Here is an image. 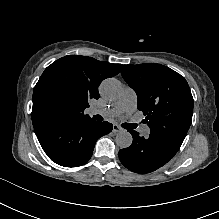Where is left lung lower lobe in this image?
<instances>
[{"instance_id":"left-lung-lower-lobe-1","label":"left lung lower lobe","mask_w":219,"mask_h":219,"mask_svg":"<svg viewBox=\"0 0 219 219\" xmlns=\"http://www.w3.org/2000/svg\"><path fill=\"white\" fill-rule=\"evenodd\" d=\"M132 144L119 151L121 163L129 170L146 174L157 170L169 162L178 150L149 135L141 137L137 131H130Z\"/></svg>"}]
</instances>
